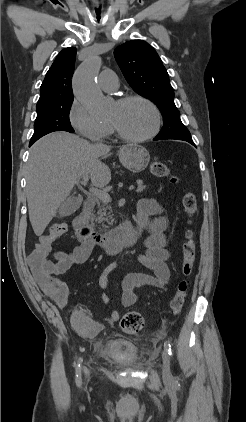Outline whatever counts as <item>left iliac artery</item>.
<instances>
[{"instance_id":"1","label":"left iliac artery","mask_w":246,"mask_h":422,"mask_svg":"<svg viewBox=\"0 0 246 422\" xmlns=\"http://www.w3.org/2000/svg\"><path fill=\"white\" fill-rule=\"evenodd\" d=\"M164 348L168 352V354L172 356V349H171V344L169 343V341H165Z\"/></svg>"}]
</instances>
